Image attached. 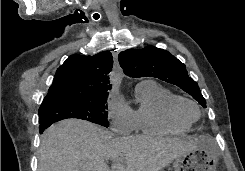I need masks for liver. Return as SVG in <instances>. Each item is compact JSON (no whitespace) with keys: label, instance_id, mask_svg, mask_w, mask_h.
Here are the masks:
<instances>
[{"label":"liver","instance_id":"6515ba94","mask_svg":"<svg viewBox=\"0 0 245 171\" xmlns=\"http://www.w3.org/2000/svg\"><path fill=\"white\" fill-rule=\"evenodd\" d=\"M204 141L153 136L114 138L95 124L68 119L43 134L38 171H160ZM105 159L113 162L111 169Z\"/></svg>","mask_w":245,"mask_h":171}]
</instances>
